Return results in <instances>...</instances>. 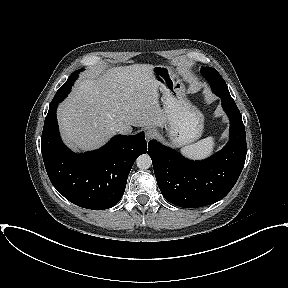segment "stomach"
I'll list each match as a JSON object with an SVG mask.
<instances>
[{
  "label": "stomach",
  "instance_id": "0dacf381",
  "mask_svg": "<svg viewBox=\"0 0 288 288\" xmlns=\"http://www.w3.org/2000/svg\"><path fill=\"white\" fill-rule=\"evenodd\" d=\"M152 74L162 92L165 129L172 144L179 147L199 139L204 128V116L186 98L182 80L169 66L156 65Z\"/></svg>",
  "mask_w": 288,
  "mask_h": 288
}]
</instances>
